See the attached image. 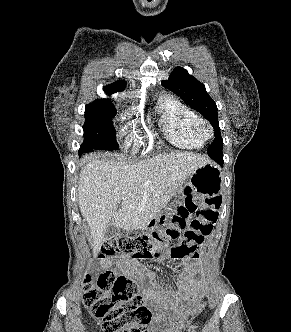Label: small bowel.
<instances>
[{
  "mask_svg": "<svg viewBox=\"0 0 291 332\" xmlns=\"http://www.w3.org/2000/svg\"><path fill=\"white\" fill-rule=\"evenodd\" d=\"M101 264L109 267L112 262L104 258L101 259ZM116 265L124 274L141 285L142 297L154 314L151 332L167 331L168 321L174 310L181 308L186 301L198 299L202 294L199 283L192 276L180 280L176 290H168L158 283L157 272L146 267L139 260L123 256L118 259ZM189 270L193 274L196 273L199 270V264L191 260Z\"/></svg>",
  "mask_w": 291,
  "mask_h": 332,
  "instance_id": "c3829d8e",
  "label": "small bowel"
}]
</instances>
